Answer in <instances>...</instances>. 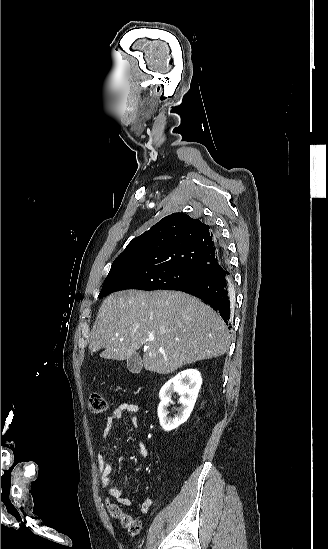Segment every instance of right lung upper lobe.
Masks as SVG:
<instances>
[{
  "instance_id": "cb5924a9",
  "label": "right lung upper lobe",
  "mask_w": 328,
  "mask_h": 549,
  "mask_svg": "<svg viewBox=\"0 0 328 549\" xmlns=\"http://www.w3.org/2000/svg\"><path fill=\"white\" fill-rule=\"evenodd\" d=\"M223 258L213 228L200 219L173 213L134 238L114 260L110 272L126 265L149 264L185 268L209 277L223 271Z\"/></svg>"
}]
</instances>
